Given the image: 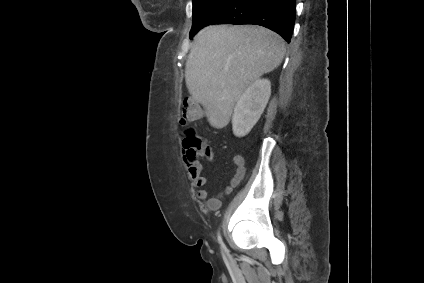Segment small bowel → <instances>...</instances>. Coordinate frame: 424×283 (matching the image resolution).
I'll list each match as a JSON object with an SVG mask.
<instances>
[{"mask_svg":"<svg viewBox=\"0 0 424 283\" xmlns=\"http://www.w3.org/2000/svg\"><path fill=\"white\" fill-rule=\"evenodd\" d=\"M182 159L194 186L198 188L196 192L197 198L204 202L210 210L219 209L222 204L221 195L210 196L209 191L203 188L207 183V178L203 174L202 165L197 160L191 159L189 153L185 149L182 150ZM233 163L235 165L234 175L230 184L225 188L224 194H229L232 189L237 187L245 174V161L241 155H235L233 157Z\"/></svg>","mask_w":424,"mask_h":283,"instance_id":"1","label":"small bowel"}]
</instances>
